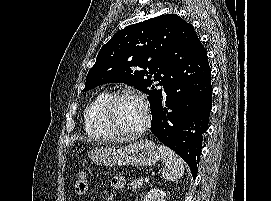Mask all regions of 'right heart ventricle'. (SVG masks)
Wrapping results in <instances>:
<instances>
[{"label":"right heart ventricle","mask_w":271,"mask_h":201,"mask_svg":"<svg viewBox=\"0 0 271 201\" xmlns=\"http://www.w3.org/2000/svg\"><path fill=\"white\" fill-rule=\"evenodd\" d=\"M109 96L107 91L100 92L85 110L84 126L90 137L109 140L117 136L106 124L103 117V107Z\"/></svg>","instance_id":"1"}]
</instances>
